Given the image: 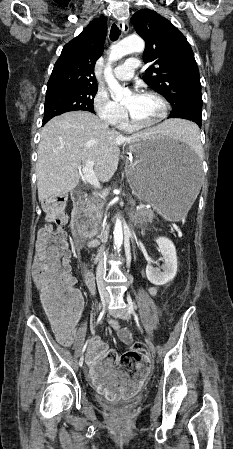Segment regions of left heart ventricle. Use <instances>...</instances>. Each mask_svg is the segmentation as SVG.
I'll list each match as a JSON object with an SVG mask.
<instances>
[{
  "mask_svg": "<svg viewBox=\"0 0 233 449\" xmlns=\"http://www.w3.org/2000/svg\"><path fill=\"white\" fill-rule=\"evenodd\" d=\"M124 105L140 122L154 121L162 112V106L157 99L143 94H140L137 98L128 96Z\"/></svg>",
  "mask_w": 233,
  "mask_h": 449,
  "instance_id": "obj_1",
  "label": "left heart ventricle"
}]
</instances>
